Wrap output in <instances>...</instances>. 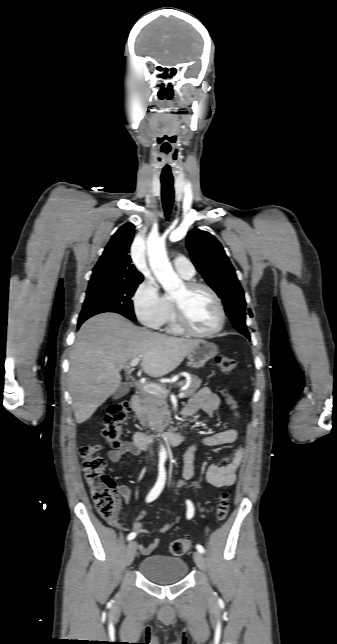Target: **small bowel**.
Returning <instances> with one entry per match:
<instances>
[{"label": "small bowel", "mask_w": 337, "mask_h": 644, "mask_svg": "<svg viewBox=\"0 0 337 644\" xmlns=\"http://www.w3.org/2000/svg\"><path fill=\"white\" fill-rule=\"evenodd\" d=\"M225 403L230 407L234 414L238 416L237 412V403L235 399L228 395L224 398ZM222 402L221 397L212 392L210 388L204 387L201 388L193 397L190 398L188 404L183 409V415L185 417H190L197 413L198 411L205 412L208 416H212L213 413L219 408ZM239 438V432L236 429H227L220 432H216L210 435H207L203 438L202 444L205 446H218L231 444L237 441ZM197 451V445L192 444L184 453V465L182 470V478L177 483V489L181 488L185 481H188L193 478L194 470V461L195 454ZM125 454H132L138 456L140 454V449L137 448L132 442L125 441L120 447L111 449L107 452L108 459L113 463H118L123 459ZM244 456V448L240 446L234 453L233 458L230 462L223 466L216 464H211L206 471V480L213 486H230L236 480L237 470L240 467ZM117 493L125 500L129 502L131 500V490L126 484H121L117 487ZM145 516V511L141 510L136 517V520L133 524L134 533H147V529L144 526L143 518ZM111 526L123 530L117 519H113L110 522ZM175 523H166L159 527V532L167 533L173 527ZM160 538H154L152 542L148 545L138 544V549L143 555H150L153 553L160 545Z\"/></svg>", "instance_id": "c3829d8e"}]
</instances>
